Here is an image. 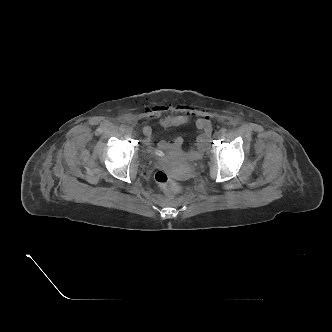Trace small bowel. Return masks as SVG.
Segmentation results:
<instances>
[{"label": "small bowel", "mask_w": 332, "mask_h": 332, "mask_svg": "<svg viewBox=\"0 0 332 332\" xmlns=\"http://www.w3.org/2000/svg\"><path fill=\"white\" fill-rule=\"evenodd\" d=\"M167 115L163 116V114ZM146 117L158 118L157 124L164 129H170L173 127L188 124L194 121L199 133L195 143V149L199 152L205 150L211 134L212 123L208 117H198L194 119V115L190 108L183 104H170V105H156L146 111ZM143 134L145 136L143 143L151 148L153 141V126L146 125L143 128ZM183 139L180 136L175 137L171 142L161 140L157 143V148L161 151L178 148L182 145Z\"/></svg>", "instance_id": "obj_1"}]
</instances>
